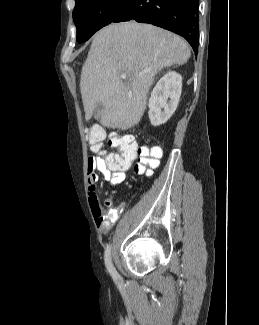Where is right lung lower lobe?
Returning <instances> with one entry per match:
<instances>
[{
    "label": "right lung lower lobe",
    "mask_w": 259,
    "mask_h": 325,
    "mask_svg": "<svg viewBox=\"0 0 259 325\" xmlns=\"http://www.w3.org/2000/svg\"><path fill=\"white\" fill-rule=\"evenodd\" d=\"M199 0H126L112 22L136 20L183 36L195 53L199 44Z\"/></svg>",
    "instance_id": "obj_1"
}]
</instances>
